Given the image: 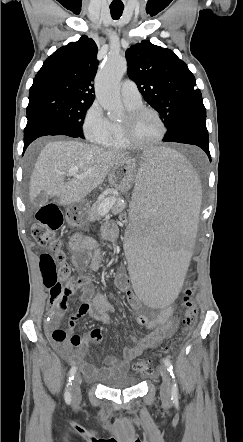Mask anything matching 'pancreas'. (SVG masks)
Wrapping results in <instances>:
<instances>
[{"label":"pancreas","instance_id":"pancreas-1","mask_svg":"<svg viewBox=\"0 0 243 442\" xmlns=\"http://www.w3.org/2000/svg\"><path fill=\"white\" fill-rule=\"evenodd\" d=\"M110 199H114L113 205L111 207L112 213L119 214L125 209L126 204L120 202V200L115 197H107L105 199L97 200L88 210L89 221L94 222L101 219L102 215L99 212V208L105 201Z\"/></svg>","mask_w":243,"mask_h":442}]
</instances>
